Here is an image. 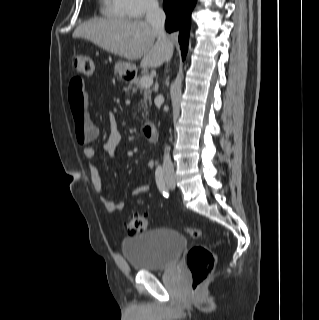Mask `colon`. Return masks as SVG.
I'll return each instance as SVG.
<instances>
[{
	"instance_id": "5ec220e1",
	"label": "colon",
	"mask_w": 319,
	"mask_h": 320,
	"mask_svg": "<svg viewBox=\"0 0 319 320\" xmlns=\"http://www.w3.org/2000/svg\"><path fill=\"white\" fill-rule=\"evenodd\" d=\"M73 70L84 78H89L94 73V60L86 54H77L71 60ZM75 137L78 143L85 144L95 138L93 128L88 124L83 114L73 116ZM150 219L145 215L132 214L126 221V229L137 234L148 228ZM191 238L198 239L203 236V231L197 228L185 230ZM186 264L191 274V293L199 294L201 285L211 276L216 265V255L206 245L193 246L187 253Z\"/></svg>"
}]
</instances>
